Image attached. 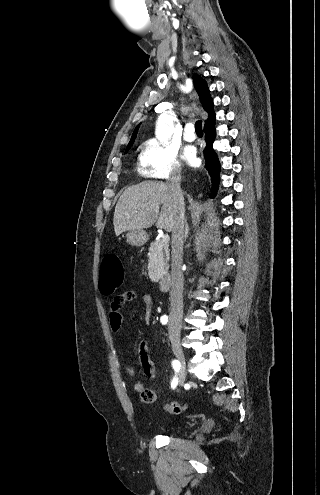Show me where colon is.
I'll return each instance as SVG.
<instances>
[{
  "label": "colon",
  "instance_id": "5ec220e1",
  "mask_svg": "<svg viewBox=\"0 0 320 495\" xmlns=\"http://www.w3.org/2000/svg\"><path fill=\"white\" fill-rule=\"evenodd\" d=\"M99 287L105 293L115 291L124 280V271L120 258L113 253L104 256L99 268ZM142 359L149 366L147 355L142 349ZM157 399V393L152 388H146L141 392V400L146 404H151ZM187 408L186 405L177 402H170L164 405V409L174 415H179Z\"/></svg>",
  "mask_w": 320,
  "mask_h": 495
}]
</instances>
